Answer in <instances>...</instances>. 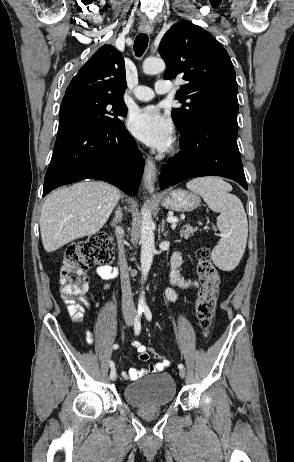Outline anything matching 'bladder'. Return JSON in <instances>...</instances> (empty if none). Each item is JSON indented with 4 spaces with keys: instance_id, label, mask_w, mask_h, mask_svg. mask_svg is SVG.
<instances>
[{
    "instance_id": "obj_1",
    "label": "bladder",
    "mask_w": 294,
    "mask_h": 462,
    "mask_svg": "<svg viewBox=\"0 0 294 462\" xmlns=\"http://www.w3.org/2000/svg\"><path fill=\"white\" fill-rule=\"evenodd\" d=\"M123 397L136 407H163L175 399L176 384L169 373L157 372L125 386Z\"/></svg>"
}]
</instances>
